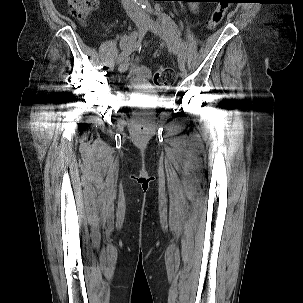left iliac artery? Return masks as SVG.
I'll return each instance as SVG.
<instances>
[{"mask_svg": "<svg viewBox=\"0 0 303 303\" xmlns=\"http://www.w3.org/2000/svg\"><path fill=\"white\" fill-rule=\"evenodd\" d=\"M144 7H146L148 11L152 12L150 4L147 3ZM156 14L162 20V22L166 23L169 27L174 29L178 35H180V31L178 29L177 24L174 22V20L169 15H167L166 13H164L162 11H159V10L156 11ZM186 54H187V45H186L185 42H183L182 46H181V49H180V52H179V56H178V60H179L180 65L181 64L185 65Z\"/></svg>", "mask_w": 303, "mask_h": 303, "instance_id": "left-iliac-artery-1", "label": "left iliac artery"}]
</instances>
